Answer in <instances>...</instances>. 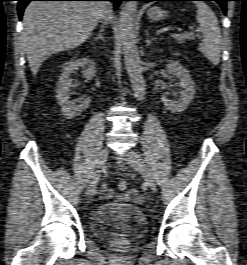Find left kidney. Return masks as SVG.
<instances>
[{"mask_svg":"<svg viewBox=\"0 0 247 265\" xmlns=\"http://www.w3.org/2000/svg\"><path fill=\"white\" fill-rule=\"evenodd\" d=\"M166 69L169 73L180 80L182 89L177 101L168 99L162 95L161 100L166 109L172 113H180L187 109L195 94V85L188 71L182 66L179 61L169 60L166 64Z\"/></svg>","mask_w":247,"mask_h":265,"instance_id":"obj_1","label":"left kidney"}]
</instances>
